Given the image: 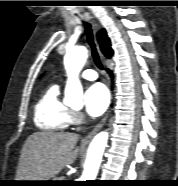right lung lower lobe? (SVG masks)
Returning <instances> with one entry per match:
<instances>
[{
  "instance_id": "1",
  "label": "right lung lower lobe",
  "mask_w": 178,
  "mask_h": 186,
  "mask_svg": "<svg viewBox=\"0 0 178 186\" xmlns=\"http://www.w3.org/2000/svg\"><path fill=\"white\" fill-rule=\"evenodd\" d=\"M106 70H107L108 74H109L110 76H112V71H110L109 69H106Z\"/></svg>"
}]
</instances>
